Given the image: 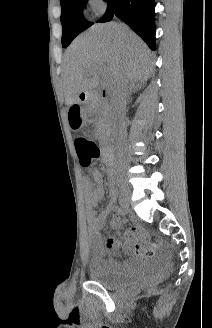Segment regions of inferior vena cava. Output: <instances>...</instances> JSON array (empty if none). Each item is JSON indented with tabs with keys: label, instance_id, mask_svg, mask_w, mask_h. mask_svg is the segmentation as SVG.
<instances>
[{
	"label": "inferior vena cava",
	"instance_id": "602c4592",
	"mask_svg": "<svg viewBox=\"0 0 212 328\" xmlns=\"http://www.w3.org/2000/svg\"><path fill=\"white\" fill-rule=\"evenodd\" d=\"M128 98V80L125 77H120L116 83L115 88L112 92L111 98V110L113 119L116 121L118 126V142H117V166H124V156H123V147L127 138L126 130V104ZM117 174H120V171H117Z\"/></svg>",
	"mask_w": 212,
	"mask_h": 328
}]
</instances>
